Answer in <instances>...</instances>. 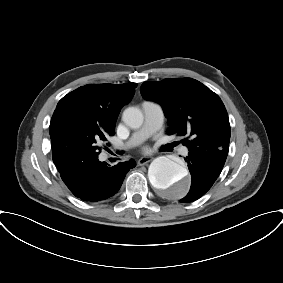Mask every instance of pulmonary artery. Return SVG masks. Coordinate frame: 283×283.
<instances>
[{
    "label": "pulmonary artery",
    "instance_id": "1",
    "mask_svg": "<svg viewBox=\"0 0 283 283\" xmlns=\"http://www.w3.org/2000/svg\"><path fill=\"white\" fill-rule=\"evenodd\" d=\"M142 109L145 116L144 123L142 127L133 133L129 140L122 146L123 148H129L139 144L160 129L163 124L164 112L160 104L151 101H144L142 103ZM181 153L183 155H187L188 148L183 147L181 149Z\"/></svg>",
    "mask_w": 283,
    "mask_h": 283
}]
</instances>
